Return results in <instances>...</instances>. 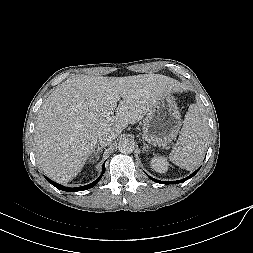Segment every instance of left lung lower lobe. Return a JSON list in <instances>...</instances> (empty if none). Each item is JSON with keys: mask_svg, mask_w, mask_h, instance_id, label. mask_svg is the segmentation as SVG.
<instances>
[{"mask_svg": "<svg viewBox=\"0 0 253 253\" xmlns=\"http://www.w3.org/2000/svg\"><path fill=\"white\" fill-rule=\"evenodd\" d=\"M198 171H199V169L196 170L194 173H192V174H191L190 176H188L187 178H184V179L178 180V181H171V182H170V181H160V180H156V179L150 177L149 175H148V177H149L151 180H153V181H155V182H157V183H161V184H177V183H181V182H184V181L190 179V178L193 177Z\"/></svg>", "mask_w": 253, "mask_h": 253, "instance_id": "1", "label": "left lung lower lobe"}]
</instances>
